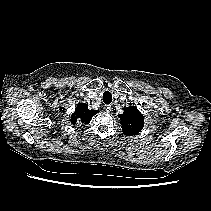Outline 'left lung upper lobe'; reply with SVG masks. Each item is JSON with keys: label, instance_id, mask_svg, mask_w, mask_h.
<instances>
[{"label": "left lung upper lobe", "instance_id": "obj_1", "mask_svg": "<svg viewBox=\"0 0 211 211\" xmlns=\"http://www.w3.org/2000/svg\"><path fill=\"white\" fill-rule=\"evenodd\" d=\"M121 120V128L126 136L137 135L144 126V117L136 106L124 109L123 114L118 115Z\"/></svg>", "mask_w": 211, "mask_h": 211}]
</instances>
